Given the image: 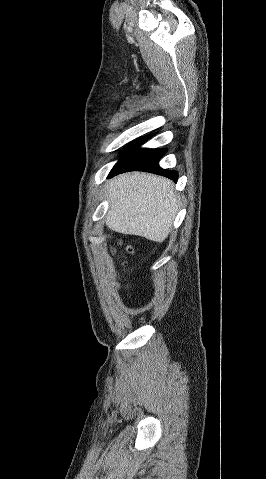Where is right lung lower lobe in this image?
I'll list each match as a JSON object with an SVG mask.
<instances>
[{
    "mask_svg": "<svg viewBox=\"0 0 266 479\" xmlns=\"http://www.w3.org/2000/svg\"><path fill=\"white\" fill-rule=\"evenodd\" d=\"M153 135L154 134H150L140 137L127 145L121 153V158L109 173L108 178L123 172L136 170L152 172L177 181L178 173L176 171L162 169L158 164L159 160L167 152V149L139 148L140 145L145 143Z\"/></svg>",
    "mask_w": 266,
    "mask_h": 479,
    "instance_id": "right-lung-lower-lobe-1",
    "label": "right lung lower lobe"
}]
</instances>
